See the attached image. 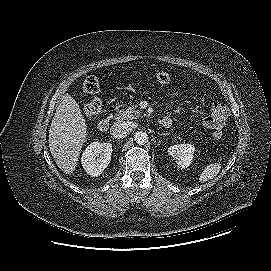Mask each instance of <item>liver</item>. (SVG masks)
Here are the masks:
<instances>
[{"mask_svg":"<svg viewBox=\"0 0 271 271\" xmlns=\"http://www.w3.org/2000/svg\"><path fill=\"white\" fill-rule=\"evenodd\" d=\"M86 140V120L74 98L66 93L56 109L49 130L51 155L65 174H73Z\"/></svg>","mask_w":271,"mask_h":271,"instance_id":"liver-1","label":"liver"}]
</instances>
